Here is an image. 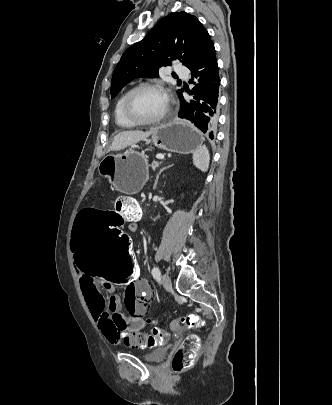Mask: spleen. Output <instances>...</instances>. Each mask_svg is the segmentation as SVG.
I'll return each mask as SVG.
<instances>
[{
	"mask_svg": "<svg viewBox=\"0 0 332 405\" xmlns=\"http://www.w3.org/2000/svg\"><path fill=\"white\" fill-rule=\"evenodd\" d=\"M210 154L205 145L198 148L193 154V164L201 170L206 172L209 168Z\"/></svg>",
	"mask_w": 332,
	"mask_h": 405,
	"instance_id": "obj_1",
	"label": "spleen"
}]
</instances>
